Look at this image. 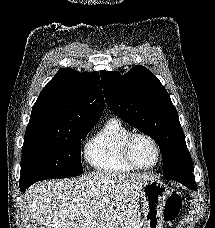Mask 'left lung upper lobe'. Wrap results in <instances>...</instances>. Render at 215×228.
<instances>
[{
	"label": "left lung upper lobe",
	"instance_id": "obj_1",
	"mask_svg": "<svg viewBox=\"0 0 215 228\" xmlns=\"http://www.w3.org/2000/svg\"><path fill=\"white\" fill-rule=\"evenodd\" d=\"M100 74L105 99L114 113L159 145L164 178L193 174L178 113L159 79L141 65L125 75L117 71Z\"/></svg>",
	"mask_w": 215,
	"mask_h": 228
}]
</instances>
